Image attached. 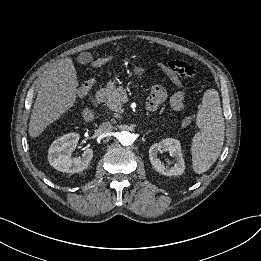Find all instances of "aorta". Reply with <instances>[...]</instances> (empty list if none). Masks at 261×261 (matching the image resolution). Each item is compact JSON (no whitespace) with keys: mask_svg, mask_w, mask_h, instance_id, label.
<instances>
[{"mask_svg":"<svg viewBox=\"0 0 261 261\" xmlns=\"http://www.w3.org/2000/svg\"><path fill=\"white\" fill-rule=\"evenodd\" d=\"M118 140L124 146H129L134 142L133 136L129 131H121L118 135Z\"/></svg>","mask_w":261,"mask_h":261,"instance_id":"obj_1","label":"aorta"}]
</instances>
